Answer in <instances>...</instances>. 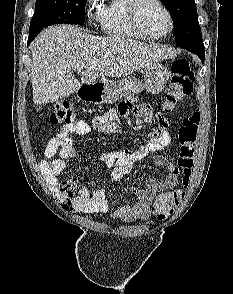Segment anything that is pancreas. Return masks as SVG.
<instances>
[{
	"instance_id": "cf45deb5",
	"label": "pancreas",
	"mask_w": 233,
	"mask_h": 294,
	"mask_svg": "<svg viewBox=\"0 0 233 294\" xmlns=\"http://www.w3.org/2000/svg\"><path fill=\"white\" fill-rule=\"evenodd\" d=\"M131 100H135L136 98L134 96L129 97Z\"/></svg>"
}]
</instances>
